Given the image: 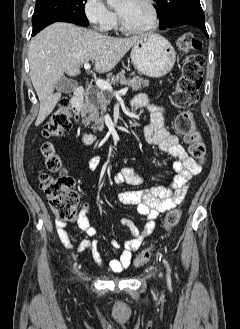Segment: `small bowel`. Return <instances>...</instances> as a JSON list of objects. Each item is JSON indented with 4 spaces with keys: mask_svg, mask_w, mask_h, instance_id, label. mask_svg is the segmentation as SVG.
<instances>
[{
    "mask_svg": "<svg viewBox=\"0 0 240 329\" xmlns=\"http://www.w3.org/2000/svg\"><path fill=\"white\" fill-rule=\"evenodd\" d=\"M133 109L146 107L150 112L149 122L143 128V136L147 145L156 147L161 153L169 154L176 158L173 164L177 175L168 185L153 187L140 191H125L118 195L119 201L128 206H135L137 212L147 218L146 223L138 229L134 222L128 218H123L121 224L128 228L132 234V239L124 243V249L118 258L109 261V268L114 273H120L131 263L132 253L136 251L145 238L155 227V220L159 214L176 208L185 198L188 184L191 178L201 172L200 164L190 157L180 143L178 135L172 133L165 124V113L163 108L151 102L146 94H138L131 103ZM100 164V157L94 156L89 163L92 171L96 170ZM116 185L127 184L140 186L144 183V178L140 176L134 166H125L113 177ZM91 207L85 203L80 210L78 225L88 236H95L98 231L90 224L89 214ZM57 233L62 245L73 252L88 250L96 264L103 265L102 255L99 250L98 241L84 239L73 244V239L67 230L65 222H55ZM112 248L118 250L121 244L113 239Z\"/></svg>",
    "mask_w": 240,
    "mask_h": 329,
    "instance_id": "obj_1",
    "label": "small bowel"
}]
</instances>
